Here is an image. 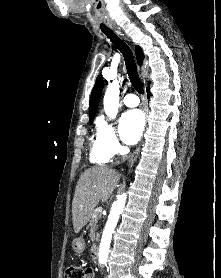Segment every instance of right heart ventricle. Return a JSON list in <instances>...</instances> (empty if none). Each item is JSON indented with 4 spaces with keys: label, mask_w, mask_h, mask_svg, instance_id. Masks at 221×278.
Masks as SVG:
<instances>
[{
    "label": "right heart ventricle",
    "mask_w": 221,
    "mask_h": 278,
    "mask_svg": "<svg viewBox=\"0 0 221 278\" xmlns=\"http://www.w3.org/2000/svg\"><path fill=\"white\" fill-rule=\"evenodd\" d=\"M90 158L93 163L99 165L108 163L111 158L109 152L103 147V145L99 141L98 136H96L95 140L93 141Z\"/></svg>",
    "instance_id": "right-heart-ventricle-1"
}]
</instances>
